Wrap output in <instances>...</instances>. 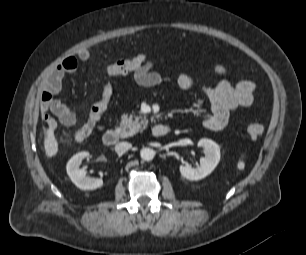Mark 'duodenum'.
Wrapping results in <instances>:
<instances>
[{"mask_svg":"<svg viewBox=\"0 0 306 255\" xmlns=\"http://www.w3.org/2000/svg\"><path fill=\"white\" fill-rule=\"evenodd\" d=\"M169 129L167 124H157L151 128V134L154 137H162L169 132ZM102 140L105 145L112 146L118 142L119 133L115 129H109L103 134Z\"/></svg>","mask_w":306,"mask_h":255,"instance_id":"1","label":"duodenum"}]
</instances>
